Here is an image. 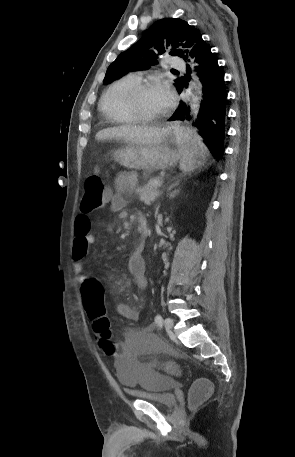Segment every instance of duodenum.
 <instances>
[{
    "instance_id": "duodenum-1",
    "label": "duodenum",
    "mask_w": 295,
    "mask_h": 457,
    "mask_svg": "<svg viewBox=\"0 0 295 457\" xmlns=\"http://www.w3.org/2000/svg\"><path fill=\"white\" fill-rule=\"evenodd\" d=\"M139 227L142 232V235L144 237H146L149 233V226H148L146 219H144L142 217L139 218Z\"/></svg>"
}]
</instances>
